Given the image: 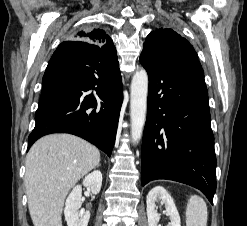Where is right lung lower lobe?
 I'll list each match as a JSON object with an SVG mask.
<instances>
[{
  "label": "right lung lower lobe",
  "instance_id": "right-lung-lower-lobe-1",
  "mask_svg": "<svg viewBox=\"0 0 247 226\" xmlns=\"http://www.w3.org/2000/svg\"><path fill=\"white\" fill-rule=\"evenodd\" d=\"M91 89L96 95L88 93ZM121 105L122 77L115 47L65 41L52 55L44 73L28 149L44 135L70 133L110 156Z\"/></svg>",
  "mask_w": 247,
  "mask_h": 226
}]
</instances>
